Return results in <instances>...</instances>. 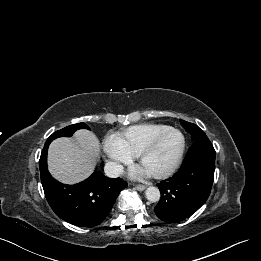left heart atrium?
I'll return each mask as SVG.
<instances>
[{
	"mask_svg": "<svg viewBox=\"0 0 261 261\" xmlns=\"http://www.w3.org/2000/svg\"><path fill=\"white\" fill-rule=\"evenodd\" d=\"M137 175H138L139 177H147V176L150 175V173H149L147 170H145L144 168L141 167V168L138 170Z\"/></svg>",
	"mask_w": 261,
	"mask_h": 261,
	"instance_id": "obj_1",
	"label": "left heart atrium"
}]
</instances>
